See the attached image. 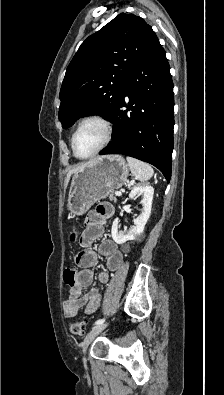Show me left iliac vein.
Masks as SVG:
<instances>
[{
	"mask_svg": "<svg viewBox=\"0 0 224 395\" xmlns=\"http://www.w3.org/2000/svg\"><path fill=\"white\" fill-rule=\"evenodd\" d=\"M107 323H102L99 325H96L93 327L89 333L85 336L83 344H82V349L83 353H86V350L88 346L91 344V342L106 328Z\"/></svg>",
	"mask_w": 224,
	"mask_h": 395,
	"instance_id": "1",
	"label": "left iliac vein"
}]
</instances>
